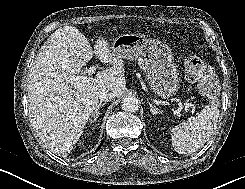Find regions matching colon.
Listing matches in <instances>:
<instances>
[{"label":"colon","mask_w":245,"mask_h":189,"mask_svg":"<svg viewBox=\"0 0 245 189\" xmlns=\"http://www.w3.org/2000/svg\"><path fill=\"white\" fill-rule=\"evenodd\" d=\"M186 78L190 82H197L205 94L206 102H213L220 90V82L214 69L197 56H191L185 62Z\"/></svg>","instance_id":"obj_1"}]
</instances>
